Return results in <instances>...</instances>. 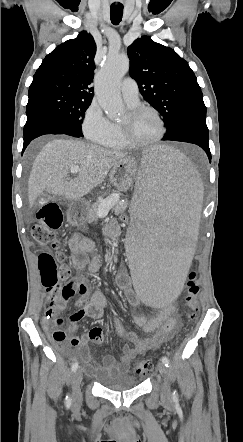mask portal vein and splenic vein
Instances as JSON below:
<instances>
[{"instance_id":"18ae733b","label":"portal vein and splenic vein","mask_w":243,"mask_h":442,"mask_svg":"<svg viewBox=\"0 0 243 442\" xmlns=\"http://www.w3.org/2000/svg\"><path fill=\"white\" fill-rule=\"evenodd\" d=\"M80 171V168L78 166H73L70 169V172L72 174H76ZM119 200L118 194H113L107 201H105L99 208H98V216L100 218L105 217L109 210L114 206V204Z\"/></svg>"}]
</instances>
